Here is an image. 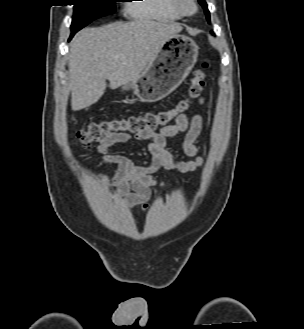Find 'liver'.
Segmentation results:
<instances>
[{
  "instance_id": "6515ba94",
  "label": "liver",
  "mask_w": 304,
  "mask_h": 329,
  "mask_svg": "<svg viewBox=\"0 0 304 329\" xmlns=\"http://www.w3.org/2000/svg\"><path fill=\"white\" fill-rule=\"evenodd\" d=\"M181 31L178 23L151 20L82 29L70 44L68 58L72 110L96 103L106 80L112 89L135 81L162 43Z\"/></svg>"
}]
</instances>
